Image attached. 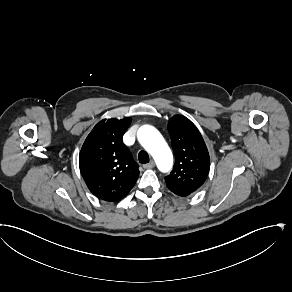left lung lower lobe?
Returning <instances> with one entry per match:
<instances>
[{
  "label": "left lung lower lobe",
  "instance_id": "obj_1",
  "mask_svg": "<svg viewBox=\"0 0 292 292\" xmlns=\"http://www.w3.org/2000/svg\"><path fill=\"white\" fill-rule=\"evenodd\" d=\"M176 194L179 195V196H182V197L190 195V194H186V193H176Z\"/></svg>",
  "mask_w": 292,
  "mask_h": 292
}]
</instances>
